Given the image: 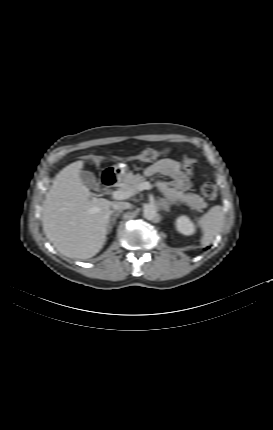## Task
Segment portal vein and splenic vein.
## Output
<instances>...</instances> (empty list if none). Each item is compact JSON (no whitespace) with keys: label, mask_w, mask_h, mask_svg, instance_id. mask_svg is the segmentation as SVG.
<instances>
[{"label":"portal vein and splenic vein","mask_w":273,"mask_h":430,"mask_svg":"<svg viewBox=\"0 0 273 430\" xmlns=\"http://www.w3.org/2000/svg\"><path fill=\"white\" fill-rule=\"evenodd\" d=\"M151 188H152V185L149 182H143L139 184V186L137 187V190L138 191L150 190ZM135 193H136L135 189H129L126 191H122V190L113 191L111 195L114 199L124 200L133 196Z\"/></svg>","instance_id":"obj_1"}]
</instances>
